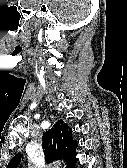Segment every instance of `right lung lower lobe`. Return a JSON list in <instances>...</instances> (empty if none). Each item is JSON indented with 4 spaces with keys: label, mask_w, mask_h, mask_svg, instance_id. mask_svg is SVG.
<instances>
[{
    "label": "right lung lower lobe",
    "mask_w": 127,
    "mask_h": 168,
    "mask_svg": "<svg viewBox=\"0 0 127 168\" xmlns=\"http://www.w3.org/2000/svg\"><path fill=\"white\" fill-rule=\"evenodd\" d=\"M76 163V162H75ZM75 163L71 166V168H75Z\"/></svg>",
    "instance_id": "right-lung-lower-lobe-1"
}]
</instances>
